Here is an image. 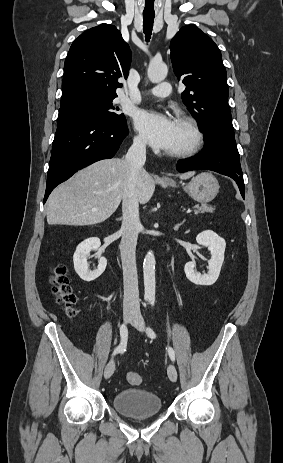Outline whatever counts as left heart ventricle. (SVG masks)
<instances>
[{
    "instance_id": "left-heart-ventricle-1",
    "label": "left heart ventricle",
    "mask_w": 283,
    "mask_h": 463,
    "mask_svg": "<svg viewBox=\"0 0 283 463\" xmlns=\"http://www.w3.org/2000/svg\"><path fill=\"white\" fill-rule=\"evenodd\" d=\"M192 135L190 131L181 123L175 122V130L173 135V142L168 151H175L183 149L190 145Z\"/></svg>"
}]
</instances>
